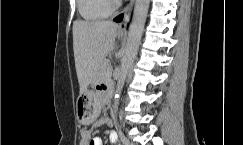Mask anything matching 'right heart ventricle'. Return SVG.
I'll use <instances>...</instances> for the list:
<instances>
[{
  "instance_id": "obj_1",
  "label": "right heart ventricle",
  "mask_w": 243,
  "mask_h": 145,
  "mask_svg": "<svg viewBox=\"0 0 243 145\" xmlns=\"http://www.w3.org/2000/svg\"><path fill=\"white\" fill-rule=\"evenodd\" d=\"M80 16L89 22H95L109 17L112 9L107 0H77Z\"/></svg>"
}]
</instances>
